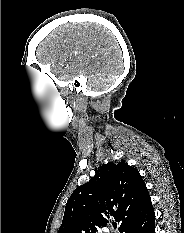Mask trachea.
<instances>
[{
  "mask_svg": "<svg viewBox=\"0 0 184 233\" xmlns=\"http://www.w3.org/2000/svg\"><path fill=\"white\" fill-rule=\"evenodd\" d=\"M113 227H114V229H116L117 228V224H113Z\"/></svg>",
  "mask_w": 184,
  "mask_h": 233,
  "instance_id": "3493384b",
  "label": "trachea"
}]
</instances>
